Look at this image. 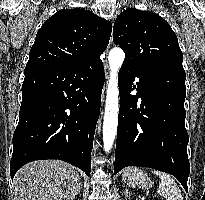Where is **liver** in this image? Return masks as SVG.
Wrapping results in <instances>:
<instances>
[{"instance_id":"1","label":"liver","mask_w":205,"mask_h":200,"mask_svg":"<svg viewBox=\"0 0 205 200\" xmlns=\"http://www.w3.org/2000/svg\"><path fill=\"white\" fill-rule=\"evenodd\" d=\"M80 177L59 160L30 162L14 176V200H73Z\"/></svg>"}]
</instances>
